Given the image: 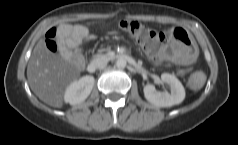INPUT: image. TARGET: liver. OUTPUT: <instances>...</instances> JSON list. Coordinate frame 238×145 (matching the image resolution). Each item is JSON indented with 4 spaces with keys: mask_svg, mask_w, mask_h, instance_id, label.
Instances as JSON below:
<instances>
[{
    "mask_svg": "<svg viewBox=\"0 0 238 145\" xmlns=\"http://www.w3.org/2000/svg\"><path fill=\"white\" fill-rule=\"evenodd\" d=\"M87 32L83 26L61 24L58 27L59 53L51 52L44 40L35 46L27 66V79L31 90L44 103L61 108L66 87L77 79L84 69L82 58H77L64 45L70 35Z\"/></svg>",
    "mask_w": 238,
    "mask_h": 145,
    "instance_id": "1",
    "label": "liver"
}]
</instances>
